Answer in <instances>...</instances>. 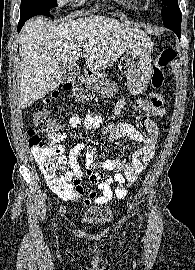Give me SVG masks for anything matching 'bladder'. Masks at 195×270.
Masks as SVG:
<instances>
[{"label":"bladder","instance_id":"1","mask_svg":"<svg viewBox=\"0 0 195 270\" xmlns=\"http://www.w3.org/2000/svg\"><path fill=\"white\" fill-rule=\"evenodd\" d=\"M114 218V210L110 207H92L86 210L81 222L89 228H101L109 225Z\"/></svg>","mask_w":195,"mask_h":270}]
</instances>
